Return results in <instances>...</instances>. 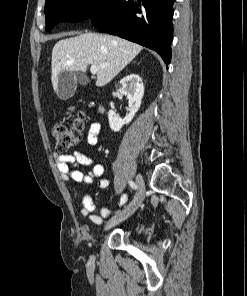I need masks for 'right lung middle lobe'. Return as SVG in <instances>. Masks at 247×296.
Returning <instances> with one entry per match:
<instances>
[{"label": "right lung middle lobe", "instance_id": "dd1d6c3e", "mask_svg": "<svg viewBox=\"0 0 247 296\" xmlns=\"http://www.w3.org/2000/svg\"><path fill=\"white\" fill-rule=\"evenodd\" d=\"M110 0H47L45 4L46 31L59 22H80L95 13L104 12Z\"/></svg>", "mask_w": 247, "mask_h": 296}]
</instances>
